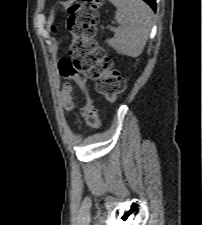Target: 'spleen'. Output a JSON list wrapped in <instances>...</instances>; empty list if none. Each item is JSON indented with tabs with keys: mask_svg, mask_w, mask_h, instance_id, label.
Instances as JSON below:
<instances>
[{
	"mask_svg": "<svg viewBox=\"0 0 202 225\" xmlns=\"http://www.w3.org/2000/svg\"><path fill=\"white\" fill-rule=\"evenodd\" d=\"M116 7L115 20L119 27L107 43L118 53L138 57L148 40L153 11L142 0H109Z\"/></svg>",
	"mask_w": 202,
	"mask_h": 225,
	"instance_id": "spleen-1",
	"label": "spleen"
}]
</instances>
